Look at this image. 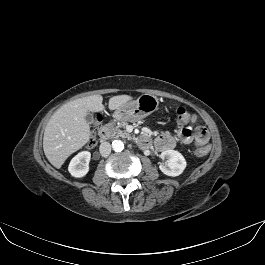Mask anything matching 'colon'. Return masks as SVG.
Wrapping results in <instances>:
<instances>
[{
	"label": "colon",
	"instance_id": "obj_1",
	"mask_svg": "<svg viewBox=\"0 0 265 265\" xmlns=\"http://www.w3.org/2000/svg\"><path fill=\"white\" fill-rule=\"evenodd\" d=\"M176 115L178 117V120L183 124H190L195 120V115L186 107H178L176 110ZM89 145H96V139L94 137L91 138ZM207 150L208 149L206 146L199 147L196 150V155L203 156L207 153Z\"/></svg>",
	"mask_w": 265,
	"mask_h": 265
}]
</instances>
